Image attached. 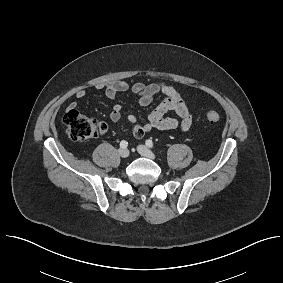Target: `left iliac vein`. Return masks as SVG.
I'll return each instance as SVG.
<instances>
[{
    "mask_svg": "<svg viewBox=\"0 0 283 283\" xmlns=\"http://www.w3.org/2000/svg\"><path fill=\"white\" fill-rule=\"evenodd\" d=\"M137 149L142 156L152 160L155 159V154L152 151H150L146 146L139 145Z\"/></svg>",
    "mask_w": 283,
    "mask_h": 283,
    "instance_id": "left-iliac-vein-1",
    "label": "left iliac vein"
}]
</instances>
